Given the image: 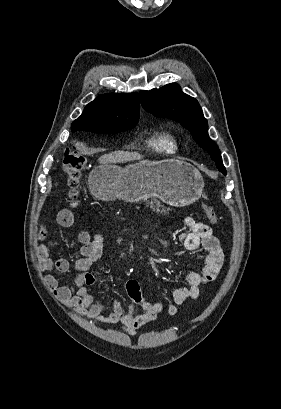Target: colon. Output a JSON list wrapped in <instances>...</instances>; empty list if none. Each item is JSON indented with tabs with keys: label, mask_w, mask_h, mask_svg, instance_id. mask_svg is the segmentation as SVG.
<instances>
[{
	"label": "colon",
	"mask_w": 281,
	"mask_h": 409,
	"mask_svg": "<svg viewBox=\"0 0 281 409\" xmlns=\"http://www.w3.org/2000/svg\"><path fill=\"white\" fill-rule=\"evenodd\" d=\"M86 159L75 149H67L63 157L64 183L69 189V199L72 205L77 203V189L79 187L80 174L85 168ZM207 218L212 222L218 221V216L209 205L204 206Z\"/></svg>",
	"instance_id": "obj_1"
}]
</instances>
